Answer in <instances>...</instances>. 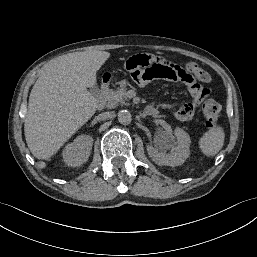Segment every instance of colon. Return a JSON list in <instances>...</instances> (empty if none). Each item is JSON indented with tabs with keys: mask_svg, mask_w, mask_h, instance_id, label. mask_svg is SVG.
Returning a JSON list of instances; mask_svg holds the SVG:
<instances>
[{
	"mask_svg": "<svg viewBox=\"0 0 257 257\" xmlns=\"http://www.w3.org/2000/svg\"><path fill=\"white\" fill-rule=\"evenodd\" d=\"M136 55H134V56H136ZM185 66L195 71L196 80L201 81V82H208L210 80L209 73L206 70H204L203 68H201L199 65L190 62V63H187ZM201 109H202V113L205 118L206 126L208 128H212V127L216 126L219 121V118H220L219 104L213 100H207V101L203 102Z\"/></svg>",
	"mask_w": 257,
	"mask_h": 257,
	"instance_id": "1",
	"label": "colon"
}]
</instances>
